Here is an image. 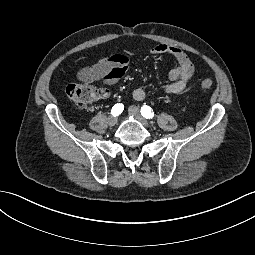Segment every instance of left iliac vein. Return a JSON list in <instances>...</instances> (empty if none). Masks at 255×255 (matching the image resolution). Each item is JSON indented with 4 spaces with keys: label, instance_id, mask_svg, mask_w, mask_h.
<instances>
[{
    "label": "left iliac vein",
    "instance_id": "4c4485c4",
    "mask_svg": "<svg viewBox=\"0 0 255 255\" xmlns=\"http://www.w3.org/2000/svg\"><path fill=\"white\" fill-rule=\"evenodd\" d=\"M129 114L134 116L143 126L146 128L150 127V124L141 116L140 109L136 106H130L128 108Z\"/></svg>",
    "mask_w": 255,
    "mask_h": 255
}]
</instances>
